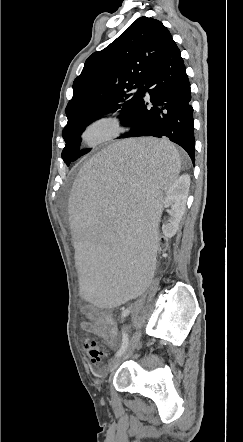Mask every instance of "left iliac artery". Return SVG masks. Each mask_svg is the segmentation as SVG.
I'll use <instances>...</instances> for the list:
<instances>
[{
	"instance_id": "44dca946",
	"label": "left iliac artery",
	"mask_w": 243,
	"mask_h": 442,
	"mask_svg": "<svg viewBox=\"0 0 243 442\" xmlns=\"http://www.w3.org/2000/svg\"><path fill=\"white\" fill-rule=\"evenodd\" d=\"M130 312H131V309H130V308L125 309V310L122 312V315H121L122 320H123L125 317H127V316L130 314ZM122 335H123L122 345H121V347L119 348V350L117 351V353L115 354V356H118V355L122 354V353L125 351V349L127 348V346H128L129 338H128V334H127V332H126V331H123Z\"/></svg>"
}]
</instances>
